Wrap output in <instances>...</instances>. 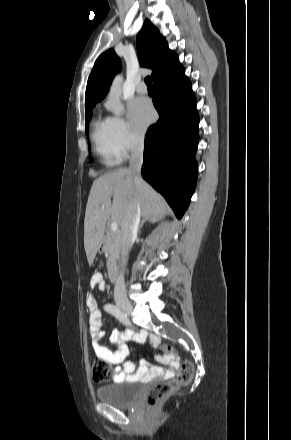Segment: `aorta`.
Wrapping results in <instances>:
<instances>
[{
    "mask_svg": "<svg viewBox=\"0 0 291 440\" xmlns=\"http://www.w3.org/2000/svg\"><path fill=\"white\" fill-rule=\"evenodd\" d=\"M121 83L122 77L120 75L116 76L111 85L108 99L105 104L106 109L116 116H120L124 113V106L120 100L122 94Z\"/></svg>",
    "mask_w": 291,
    "mask_h": 440,
    "instance_id": "762f6f07",
    "label": "aorta"
}]
</instances>
